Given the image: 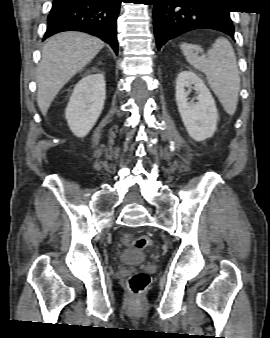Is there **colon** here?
<instances>
[{"instance_id": "obj_1", "label": "colon", "mask_w": 270, "mask_h": 338, "mask_svg": "<svg viewBox=\"0 0 270 338\" xmlns=\"http://www.w3.org/2000/svg\"><path fill=\"white\" fill-rule=\"evenodd\" d=\"M133 248L138 250H144L148 245L152 243V240L145 236H135L130 241ZM149 282V276L146 273L138 272L130 276L128 285L130 290L135 294H140L144 291Z\"/></svg>"}]
</instances>
